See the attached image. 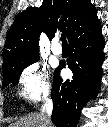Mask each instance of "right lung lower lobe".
<instances>
[{
	"mask_svg": "<svg viewBox=\"0 0 108 127\" xmlns=\"http://www.w3.org/2000/svg\"><path fill=\"white\" fill-rule=\"evenodd\" d=\"M105 42L100 21L95 19L69 39L70 56L66 66L73 72V79L63 81L60 65L55 73L51 97L54 108L52 122L57 127H76L81 109L99 90L104 60Z\"/></svg>",
	"mask_w": 108,
	"mask_h": 127,
	"instance_id": "98d812e1",
	"label": "right lung lower lobe"
}]
</instances>
